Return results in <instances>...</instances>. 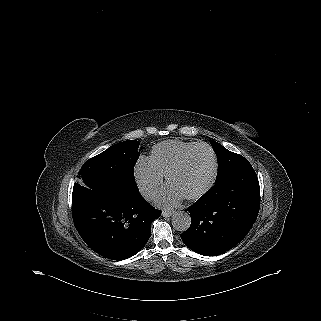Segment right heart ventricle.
<instances>
[{
    "mask_svg": "<svg viewBox=\"0 0 321 321\" xmlns=\"http://www.w3.org/2000/svg\"><path fill=\"white\" fill-rule=\"evenodd\" d=\"M197 144L199 143L177 139L162 141L152 147L148 160L153 169L163 177Z\"/></svg>",
    "mask_w": 321,
    "mask_h": 321,
    "instance_id": "1",
    "label": "right heart ventricle"
}]
</instances>
